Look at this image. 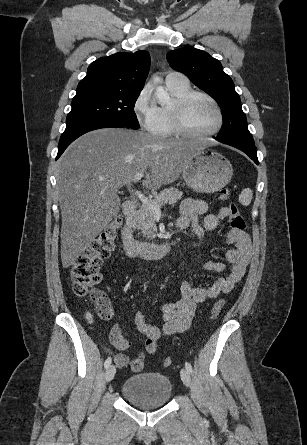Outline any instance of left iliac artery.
Instances as JSON below:
<instances>
[{"mask_svg":"<svg viewBox=\"0 0 307 445\" xmlns=\"http://www.w3.org/2000/svg\"><path fill=\"white\" fill-rule=\"evenodd\" d=\"M185 368L187 369V371L189 372V373H193V369H192V366H191V364L189 363V362H186L185 363Z\"/></svg>","mask_w":307,"mask_h":445,"instance_id":"obj_1","label":"left iliac artery"}]
</instances>
